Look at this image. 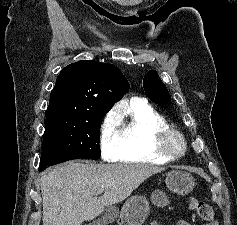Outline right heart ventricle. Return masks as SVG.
<instances>
[{
  "instance_id": "right-heart-ventricle-1",
  "label": "right heart ventricle",
  "mask_w": 237,
  "mask_h": 225,
  "mask_svg": "<svg viewBox=\"0 0 237 225\" xmlns=\"http://www.w3.org/2000/svg\"><path fill=\"white\" fill-rule=\"evenodd\" d=\"M128 120L119 126L121 147L118 162L134 164H163L172 159L161 156L155 149L154 134L170 128L166 119L144 99L130 102Z\"/></svg>"
}]
</instances>
